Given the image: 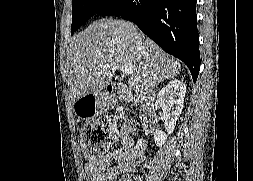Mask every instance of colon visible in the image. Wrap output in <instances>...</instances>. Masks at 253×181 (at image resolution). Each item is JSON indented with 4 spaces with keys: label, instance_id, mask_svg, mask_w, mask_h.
<instances>
[{
    "label": "colon",
    "instance_id": "1",
    "mask_svg": "<svg viewBox=\"0 0 253 181\" xmlns=\"http://www.w3.org/2000/svg\"><path fill=\"white\" fill-rule=\"evenodd\" d=\"M125 129L121 117L102 116L86 124L80 133L81 146L88 159H94L107 151L115 138Z\"/></svg>",
    "mask_w": 253,
    "mask_h": 181
}]
</instances>
